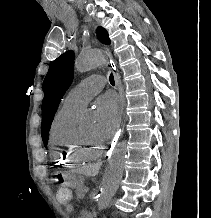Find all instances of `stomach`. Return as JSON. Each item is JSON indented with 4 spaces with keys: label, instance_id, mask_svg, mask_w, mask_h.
Segmentation results:
<instances>
[{
    "label": "stomach",
    "instance_id": "0dacf381",
    "mask_svg": "<svg viewBox=\"0 0 211 218\" xmlns=\"http://www.w3.org/2000/svg\"><path fill=\"white\" fill-rule=\"evenodd\" d=\"M64 185L70 188H76L81 184V178L74 173H69L63 176Z\"/></svg>",
    "mask_w": 211,
    "mask_h": 218
}]
</instances>
